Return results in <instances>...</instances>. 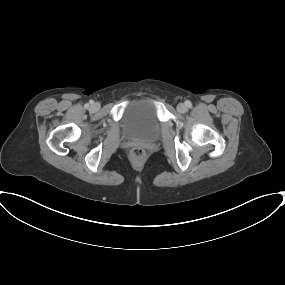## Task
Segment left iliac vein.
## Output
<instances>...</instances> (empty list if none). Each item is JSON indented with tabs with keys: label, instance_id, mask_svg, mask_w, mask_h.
<instances>
[{
	"label": "left iliac vein",
	"instance_id": "obj_1",
	"mask_svg": "<svg viewBox=\"0 0 285 285\" xmlns=\"http://www.w3.org/2000/svg\"><path fill=\"white\" fill-rule=\"evenodd\" d=\"M177 110L180 112V113H185L187 111V107L185 104L183 103H180L177 105Z\"/></svg>",
	"mask_w": 285,
	"mask_h": 285
}]
</instances>
